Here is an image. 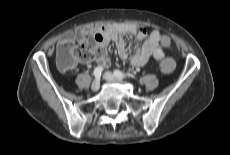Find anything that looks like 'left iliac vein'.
<instances>
[{"label":"left iliac vein","instance_id":"obj_1","mask_svg":"<svg viewBox=\"0 0 230 155\" xmlns=\"http://www.w3.org/2000/svg\"><path fill=\"white\" fill-rule=\"evenodd\" d=\"M103 78L105 79V80H107V81H110V82H112V81H121L122 80V78H119V77H116L113 73H111V72H105L104 74H103Z\"/></svg>","mask_w":230,"mask_h":155}]
</instances>
